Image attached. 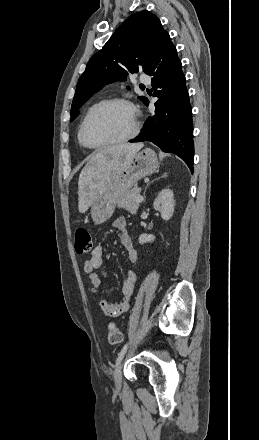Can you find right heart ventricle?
I'll list each match as a JSON object with an SVG mask.
<instances>
[{
	"label": "right heart ventricle",
	"instance_id": "e07e8e85",
	"mask_svg": "<svg viewBox=\"0 0 259 440\" xmlns=\"http://www.w3.org/2000/svg\"><path fill=\"white\" fill-rule=\"evenodd\" d=\"M93 106H94V105L90 106V107L87 109L85 115L87 114V112H88ZM84 117H85V116H84ZM81 122H82V121H81ZM80 125H81V123H80ZM80 125H79V127H78V131H77V139H78V142L80 143V145L84 146V145L82 144L81 140H80V134H79V131H80Z\"/></svg>",
	"mask_w": 259,
	"mask_h": 440
}]
</instances>
